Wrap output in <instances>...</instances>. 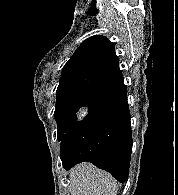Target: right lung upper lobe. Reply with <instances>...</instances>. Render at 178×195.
Segmentation results:
<instances>
[{"instance_id": "1", "label": "right lung upper lobe", "mask_w": 178, "mask_h": 195, "mask_svg": "<svg viewBox=\"0 0 178 195\" xmlns=\"http://www.w3.org/2000/svg\"><path fill=\"white\" fill-rule=\"evenodd\" d=\"M123 82L113 43L96 35L86 39L65 64L56 95L97 96Z\"/></svg>"}]
</instances>
